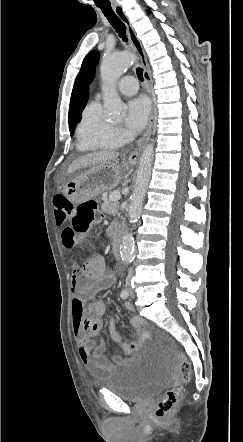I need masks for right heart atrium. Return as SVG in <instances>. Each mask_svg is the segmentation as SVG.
<instances>
[{
	"label": "right heart atrium",
	"mask_w": 243,
	"mask_h": 442,
	"mask_svg": "<svg viewBox=\"0 0 243 442\" xmlns=\"http://www.w3.org/2000/svg\"><path fill=\"white\" fill-rule=\"evenodd\" d=\"M119 132H120V134H122V135L124 134L122 131H119Z\"/></svg>",
	"instance_id": "1"
}]
</instances>
